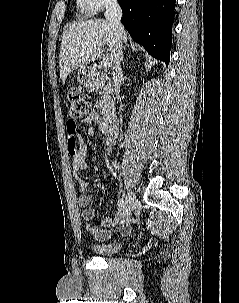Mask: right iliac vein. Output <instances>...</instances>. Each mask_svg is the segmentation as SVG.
<instances>
[{
  "instance_id": "63e3f726",
  "label": "right iliac vein",
  "mask_w": 239,
  "mask_h": 303,
  "mask_svg": "<svg viewBox=\"0 0 239 303\" xmlns=\"http://www.w3.org/2000/svg\"><path fill=\"white\" fill-rule=\"evenodd\" d=\"M136 206V197L133 191H130L128 193V196L126 197L125 203L123 207L119 210V212L116 215L115 223L118 222L120 219L125 218L131 214L133 209Z\"/></svg>"
}]
</instances>
